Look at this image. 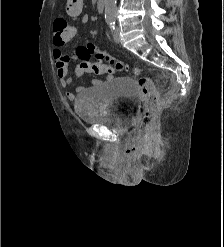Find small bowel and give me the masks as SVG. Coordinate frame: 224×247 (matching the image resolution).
Masks as SVG:
<instances>
[{
    "mask_svg": "<svg viewBox=\"0 0 224 247\" xmlns=\"http://www.w3.org/2000/svg\"><path fill=\"white\" fill-rule=\"evenodd\" d=\"M67 11L71 16H80L82 14V0H67ZM90 17L87 14L81 15L80 23L85 25L89 22ZM55 49L53 50V58L55 61L57 76L60 84L63 88H68L72 83V78L68 75V61L69 56L61 50V47L65 42H61L53 38ZM81 74L80 70H77L76 76ZM66 98L70 101L75 99V95L72 92L66 93Z\"/></svg>",
    "mask_w": 224,
    "mask_h": 247,
    "instance_id": "small-bowel-1",
    "label": "small bowel"
}]
</instances>
